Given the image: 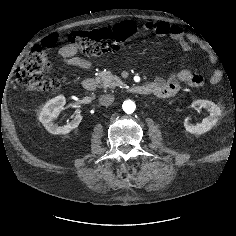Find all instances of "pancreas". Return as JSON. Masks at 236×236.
<instances>
[{
    "instance_id": "cf45deb5",
    "label": "pancreas",
    "mask_w": 236,
    "mask_h": 236,
    "mask_svg": "<svg viewBox=\"0 0 236 236\" xmlns=\"http://www.w3.org/2000/svg\"><path fill=\"white\" fill-rule=\"evenodd\" d=\"M97 80L103 88H115L124 85L121 79L118 76L113 75L111 71L99 73Z\"/></svg>"
}]
</instances>
